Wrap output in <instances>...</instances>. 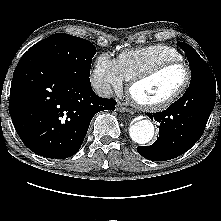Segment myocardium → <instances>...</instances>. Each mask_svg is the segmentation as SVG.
Here are the masks:
<instances>
[{
    "label": "myocardium",
    "instance_id": "1",
    "mask_svg": "<svg viewBox=\"0 0 221 221\" xmlns=\"http://www.w3.org/2000/svg\"><path fill=\"white\" fill-rule=\"evenodd\" d=\"M177 65L183 66L185 68L186 77H185V80H184V83L182 84V86L173 95H171L169 98L165 99L164 101H161L158 103H144L135 97L134 88L138 84H140L148 79H151L152 77H154L155 75H157L158 73H160L161 71H163L169 67H173V66H177ZM191 81H192V71H191L190 66L185 61H183V60H168V61L158 63V64L150 67L146 71L138 74L134 78H132L130 80V83L128 86V95H129L132 103L137 108H139L141 110L148 111V112L162 111V110H165V109L169 108L170 106H172L186 93V91L188 90V88L191 84Z\"/></svg>",
    "mask_w": 221,
    "mask_h": 221
}]
</instances>
